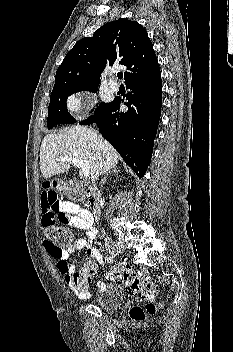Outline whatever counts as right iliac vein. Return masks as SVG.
<instances>
[{
  "mask_svg": "<svg viewBox=\"0 0 233 352\" xmlns=\"http://www.w3.org/2000/svg\"><path fill=\"white\" fill-rule=\"evenodd\" d=\"M110 254L124 253L125 248L122 245L113 244L108 248Z\"/></svg>",
  "mask_w": 233,
  "mask_h": 352,
  "instance_id": "obj_1",
  "label": "right iliac vein"
}]
</instances>
